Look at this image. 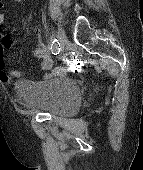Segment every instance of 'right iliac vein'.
Instances as JSON below:
<instances>
[{
  "label": "right iliac vein",
  "instance_id": "right-iliac-vein-1",
  "mask_svg": "<svg viewBox=\"0 0 143 170\" xmlns=\"http://www.w3.org/2000/svg\"><path fill=\"white\" fill-rule=\"evenodd\" d=\"M58 37L63 45V53L67 52L69 49V41L64 32H59Z\"/></svg>",
  "mask_w": 143,
  "mask_h": 170
}]
</instances>
